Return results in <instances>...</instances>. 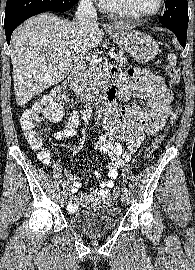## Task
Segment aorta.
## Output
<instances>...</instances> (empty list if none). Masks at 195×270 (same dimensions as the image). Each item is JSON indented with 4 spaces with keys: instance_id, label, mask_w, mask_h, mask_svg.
I'll use <instances>...</instances> for the list:
<instances>
[{
    "instance_id": "1",
    "label": "aorta",
    "mask_w": 195,
    "mask_h": 270,
    "mask_svg": "<svg viewBox=\"0 0 195 270\" xmlns=\"http://www.w3.org/2000/svg\"><path fill=\"white\" fill-rule=\"evenodd\" d=\"M101 110H102V107H101V105H99V108H98V114L101 113Z\"/></svg>"
}]
</instances>
